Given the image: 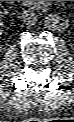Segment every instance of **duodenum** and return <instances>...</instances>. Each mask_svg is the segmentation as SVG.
<instances>
[{"label": "duodenum", "instance_id": "obj_1", "mask_svg": "<svg viewBox=\"0 0 74 122\" xmlns=\"http://www.w3.org/2000/svg\"><path fill=\"white\" fill-rule=\"evenodd\" d=\"M32 2H30V1H23L24 4H31V6H33V3Z\"/></svg>", "mask_w": 74, "mask_h": 122}]
</instances>
